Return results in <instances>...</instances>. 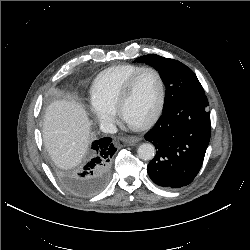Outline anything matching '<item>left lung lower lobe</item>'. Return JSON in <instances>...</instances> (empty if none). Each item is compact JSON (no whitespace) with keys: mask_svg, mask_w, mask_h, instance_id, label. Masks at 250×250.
<instances>
[{"mask_svg":"<svg viewBox=\"0 0 250 250\" xmlns=\"http://www.w3.org/2000/svg\"><path fill=\"white\" fill-rule=\"evenodd\" d=\"M144 137L157 149L147 167L151 180L168 188L190 184L203 164L210 140L206 96L190 97L164 110Z\"/></svg>","mask_w":250,"mask_h":250,"instance_id":"obj_1","label":"left lung lower lobe"}]
</instances>
